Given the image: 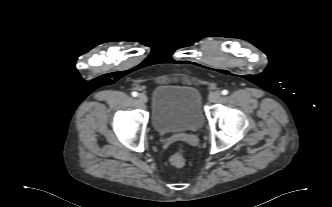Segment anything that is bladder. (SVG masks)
<instances>
[{
	"label": "bladder",
	"instance_id": "bladder-1",
	"mask_svg": "<svg viewBox=\"0 0 332 207\" xmlns=\"http://www.w3.org/2000/svg\"><path fill=\"white\" fill-rule=\"evenodd\" d=\"M151 123L160 134L199 130L204 123L200 91L192 86H157L152 95Z\"/></svg>",
	"mask_w": 332,
	"mask_h": 207
}]
</instances>
